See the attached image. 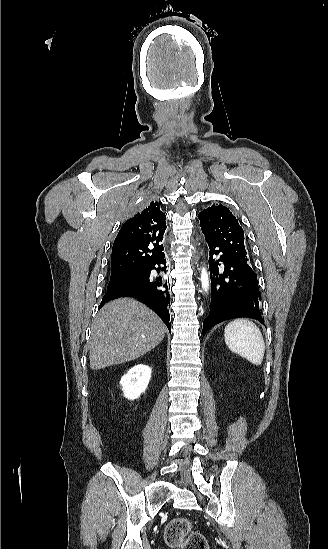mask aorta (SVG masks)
Here are the masks:
<instances>
[{"mask_svg":"<svg viewBox=\"0 0 328 549\" xmlns=\"http://www.w3.org/2000/svg\"><path fill=\"white\" fill-rule=\"evenodd\" d=\"M201 284L203 290L207 292L209 290V275L206 268L204 267L201 270Z\"/></svg>","mask_w":328,"mask_h":549,"instance_id":"aorta-1","label":"aorta"}]
</instances>
